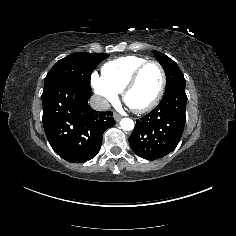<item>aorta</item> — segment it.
I'll return each mask as SVG.
<instances>
[{
	"mask_svg": "<svg viewBox=\"0 0 236 236\" xmlns=\"http://www.w3.org/2000/svg\"><path fill=\"white\" fill-rule=\"evenodd\" d=\"M120 126L125 131H130L134 129V122L130 118H122L120 121Z\"/></svg>",
	"mask_w": 236,
	"mask_h": 236,
	"instance_id": "obj_1",
	"label": "aorta"
}]
</instances>
